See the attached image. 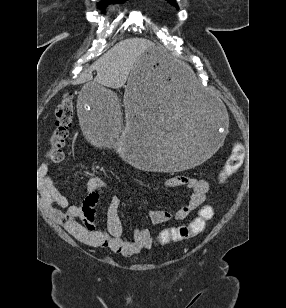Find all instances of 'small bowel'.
Here are the masks:
<instances>
[{
    "instance_id": "1",
    "label": "small bowel",
    "mask_w": 286,
    "mask_h": 308,
    "mask_svg": "<svg viewBox=\"0 0 286 308\" xmlns=\"http://www.w3.org/2000/svg\"><path fill=\"white\" fill-rule=\"evenodd\" d=\"M44 182L48 190L49 212L80 241L97 247H107L112 252L129 257L144 249H151L153 239L149 229L137 228L133 240H123V225L119 215L121 200L110 199L107 209V229L95 228L96 206L105 192V183L97 176L90 177L84 188V195L79 204L70 205L67 197L56 187L48 173V166L43 164ZM166 186L176 188L186 186L190 191L187 202L177 211L151 210L149 219L153 225L165 223L171 219L182 221L200 207L209 190L206 180L184 175L174 176L166 181Z\"/></svg>"
}]
</instances>
